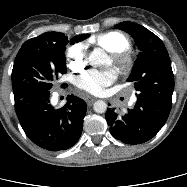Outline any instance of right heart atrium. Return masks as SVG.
<instances>
[{
    "label": "right heart atrium",
    "mask_w": 187,
    "mask_h": 187,
    "mask_svg": "<svg viewBox=\"0 0 187 187\" xmlns=\"http://www.w3.org/2000/svg\"><path fill=\"white\" fill-rule=\"evenodd\" d=\"M67 61L70 69L75 72L82 71L87 62V46L84 43L73 45L67 52Z\"/></svg>",
    "instance_id": "right-heart-atrium-1"
}]
</instances>
